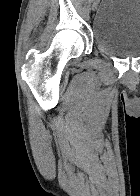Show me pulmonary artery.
<instances>
[{"mask_svg":"<svg viewBox=\"0 0 140 196\" xmlns=\"http://www.w3.org/2000/svg\"><path fill=\"white\" fill-rule=\"evenodd\" d=\"M71 192H85V191H71Z\"/></svg>","mask_w":140,"mask_h":196,"instance_id":"pulmonary-artery-1","label":"pulmonary artery"}]
</instances>
